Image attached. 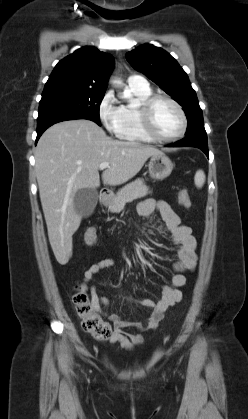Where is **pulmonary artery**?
Listing matches in <instances>:
<instances>
[{
	"label": "pulmonary artery",
	"mask_w": 248,
	"mask_h": 419,
	"mask_svg": "<svg viewBox=\"0 0 248 419\" xmlns=\"http://www.w3.org/2000/svg\"><path fill=\"white\" fill-rule=\"evenodd\" d=\"M127 84L129 87L144 89L148 87V82L146 79L140 75H131L127 79Z\"/></svg>",
	"instance_id": "pulmonary-artery-1"
}]
</instances>
